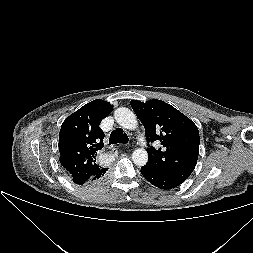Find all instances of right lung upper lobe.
<instances>
[{"label": "right lung upper lobe", "instance_id": "cb5924a9", "mask_svg": "<svg viewBox=\"0 0 253 253\" xmlns=\"http://www.w3.org/2000/svg\"><path fill=\"white\" fill-rule=\"evenodd\" d=\"M112 109L109 102L96 99L71 114L61 126L60 163L78 185L96 181L107 171L96 163V155L104 147L100 122Z\"/></svg>", "mask_w": 253, "mask_h": 253}]
</instances>
